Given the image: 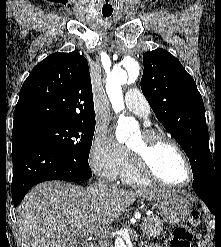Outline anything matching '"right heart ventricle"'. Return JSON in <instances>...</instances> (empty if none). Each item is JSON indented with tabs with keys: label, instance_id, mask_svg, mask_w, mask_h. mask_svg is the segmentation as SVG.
I'll return each instance as SVG.
<instances>
[{
	"label": "right heart ventricle",
	"instance_id": "right-heart-ventricle-1",
	"mask_svg": "<svg viewBox=\"0 0 221 247\" xmlns=\"http://www.w3.org/2000/svg\"><path fill=\"white\" fill-rule=\"evenodd\" d=\"M120 177L125 184L129 185H145L152 182L136 169L128 152H126Z\"/></svg>",
	"mask_w": 221,
	"mask_h": 247
}]
</instances>
